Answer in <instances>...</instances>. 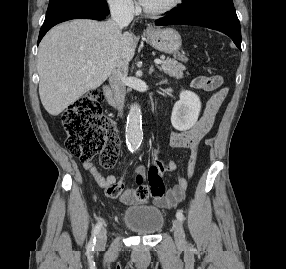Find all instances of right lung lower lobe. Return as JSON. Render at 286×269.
Segmentation results:
<instances>
[{
    "label": "right lung lower lobe",
    "instance_id": "right-lung-lower-lobe-1",
    "mask_svg": "<svg viewBox=\"0 0 286 269\" xmlns=\"http://www.w3.org/2000/svg\"><path fill=\"white\" fill-rule=\"evenodd\" d=\"M108 14L94 12V11H88V10H76L71 11L68 13H64L61 15H57L48 19H45L39 33L38 38V44L43 38V36L46 34V32L51 29L53 26H55L58 23L71 20V19H77V18H86V19H95V20H103L105 19V16Z\"/></svg>",
    "mask_w": 286,
    "mask_h": 269
}]
</instances>
